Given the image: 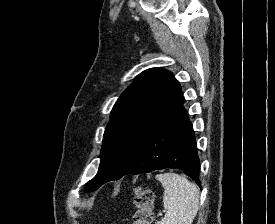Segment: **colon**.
<instances>
[{
	"mask_svg": "<svg viewBox=\"0 0 275 224\" xmlns=\"http://www.w3.org/2000/svg\"><path fill=\"white\" fill-rule=\"evenodd\" d=\"M153 192L146 187H137L134 190V205L136 211L132 224H150L153 220Z\"/></svg>",
	"mask_w": 275,
	"mask_h": 224,
	"instance_id": "5ec220e1",
	"label": "colon"
}]
</instances>
